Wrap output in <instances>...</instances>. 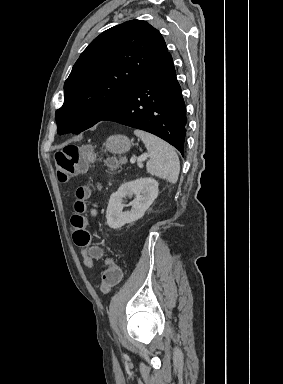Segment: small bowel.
Returning <instances> with one entry per match:
<instances>
[{"mask_svg":"<svg viewBox=\"0 0 283 384\" xmlns=\"http://www.w3.org/2000/svg\"><path fill=\"white\" fill-rule=\"evenodd\" d=\"M98 189H101V186L98 184ZM97 211H96V207H94L92 210H91V217H95ZM81 248V247H80ZM81 253L83 255V258H84V263L88 266V267H91L92 264H93V256L91 255V253L88 251L87 248H81Z\"/></svg>","mask_w":283,"mask_h":384,"instance_id":"obj_1","label":"small bowel"}]
</instances>
